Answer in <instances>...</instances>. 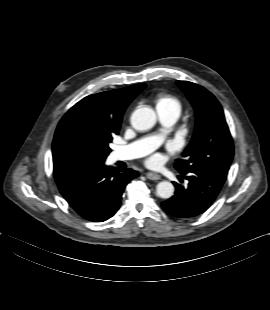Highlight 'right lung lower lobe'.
I'll use <instances>...</instances> for the list:
<instances>
[{
	"label": "right lung lower lobe",
	"instance_id": "1",
	"mask_svg": "<svg viewBox=\"0 0 270 310\" xmlns=\"http://www.w3.org/2000/svg\"><path fill=\"white\" fill-rule=\"evenodd\" d=\"M53 174L69 205L82 218L92 222L111 218L120 207L126 185L139 175L132 169L114 170L104 162L56 165Z\"/></svg>",
	"mask_w": 270,
	"mask_h": 310
}]
</instances>
